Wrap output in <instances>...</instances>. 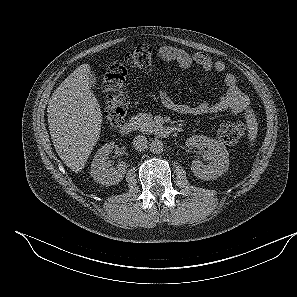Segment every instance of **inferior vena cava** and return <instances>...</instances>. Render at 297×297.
<instances>
[{
	"mask_svg": "<svg viewBox=\"0 0 297 297\" xmlns=\"http://www.w3.org/2000/svg\"><path fill=\"white\" fill-rule=\"evenodd\" d=\"M148 140L143 135H138L133 139V145L135 150L137 151H143L147 148Z\"/></svg>",
	"mask_w": 297,
	"mask_h": 297,
	"instance_id": "602c4592",
	"label": "inferior vena cava"
}]
</instances>
